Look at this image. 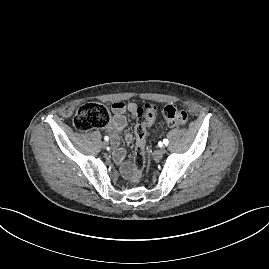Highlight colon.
I'll return each instance as SVG.
<instances>
[{
    "label": "colon",
    "mask_w": 269,
    "mask_h": 269,
    "mask_svg": "<svg viewBox=\"0 0 269 269\" xmlns=\"http://www.w3.org/2000/svg\"><path fill=\"white\" fill-rule=\"evenodd\" d=\"M156 112L157 107L152 104L138 108V119L135 126L137 142L133 161L134 173L132 176L134 181L140 178L141 171L146 163V131L147 127L152 123ZM162 115L166 124L170 127L183 126L188 120V114L185 110L172 105L164 107ZM109 121L110 111L107 106L99 103H87L77 110L73 124L79 131H88L103 128L108 125Z\"/></svg>",
    "instance_id": "1"
}]
</instances>
